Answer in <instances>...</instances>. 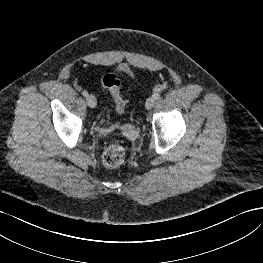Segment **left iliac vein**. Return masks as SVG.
I'll return each mask as SVG.
<instances>
[{
    "label": "left iliac vein",
    "mask_w": 263,
    "mask_h": 263,
    "mask_svg": "<svg viewBox=\"0 0 263 263\" xmlns=\"http://www.w3.org/2000/svg\"><path fill=\"white\" fill-rule=\"evenodd\" d=\"M155 102H156V99L153 96L149 97L146 101V104H145L146 109L147 110L152 109L155 105Z\"/></svg>",
    "instance_id": "4c4485c4"
}]
</instances>
